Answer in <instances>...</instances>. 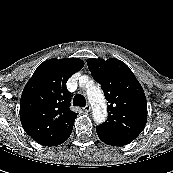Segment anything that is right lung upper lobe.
I'll return each mask as SVG.
<instances>
[{
    "instance_id": "cb5924a9",
    "label": "right lung upper lobe",
    "mask_w": 173,
    "mask_h": 173,
    "mask_svg": "<svg viewBox=\"0 0 173 173\" xmlns=\"http://www.w3.org/2000/svg\"><path fill=\"white\" fill-rule=\"evenodd\" d=\"M78 58L49 59L37 67L23 89L20 120L37 143L49 145L72 129L77 113L70 110L71 93L67 80L81 70Z\"/></svg>"
}]
</instances>
